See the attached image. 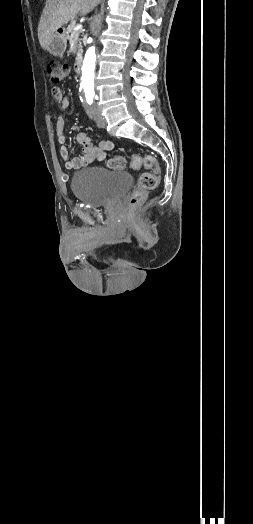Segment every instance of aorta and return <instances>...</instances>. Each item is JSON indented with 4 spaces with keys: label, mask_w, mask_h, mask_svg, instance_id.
Here are the masks:
<instances>
[{
    "label": "aorta",
    "mask_w": 253,
    "mask_h": 524,
    "mask_svg": "<svg viewBox=\"0 0 253 524\" xmlns=\"http://www.w3.org/2000/svg\"><path fill=\"white\" fill-rule=\"evenodd\" d=\"M95 47H90L83 61L81 87L84 89L87 101L93 100L94 97V71H95Z\"/></svg>",
    "instance_id": "1"
}]
</instances>
